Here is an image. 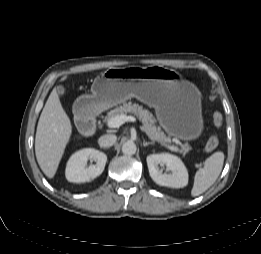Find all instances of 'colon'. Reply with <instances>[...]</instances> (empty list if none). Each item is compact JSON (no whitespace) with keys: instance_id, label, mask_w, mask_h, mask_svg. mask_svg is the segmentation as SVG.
<instances>
[{"instance_id":"obj_1","label":"colon","mask_w":261,"mask_h":254,"mask_svg":"<svg viewBox=\"0 0 261 254\" xmlns=\"http://www.w3.org/2000/svg\"><path fill=\"white\" fill-rule=\"evenodd\" d=\"M212 121H213L215 128L219 129L223 125V122H224L223 114L220 112L213 113ZM218 143H219L218 135H217V133H213L209 137V139L205 145V151L212 152L218 146Z\"/></svg>"}]
</instances>
